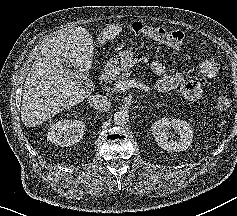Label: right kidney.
Masks as SVG:
<instances>
[{"label": "right kidney", "instance_id": "ca27d5eb", "mask_svg": "<svg viewBox=\"0 0 237 216\" xmlns=\"http://www.w3.org/2000/svg\"><path fill=\"white\" fill-rule=\"evenodd\" d=\"M60 128H61V126H58V128H56V132H55V133H57V130H60ZM50 131H51V129H50ZM56 136L58 137V135H56ZM80 137H81V135L78 134V136H76V139H78V138H80ZM58 139H60V138L58 137ZM52 140H55V141H56L55 138H53Z\"/></svg>", "mask_w": 237, "mask_h": 216}]
</instances>
